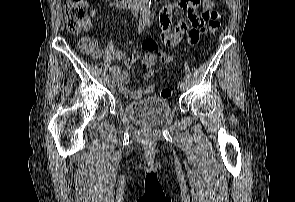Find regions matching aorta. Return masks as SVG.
I'll list each match as a JSON object with an SVG mask.
<instances>
[{
	"instance_id": "1",
	"label": "aorta",
	"mask_w": 295,
	"mask_h": 202,
	"mask_svg": "<svg viewBox=\"0 0 295 202\" xmlns=\"http://www.w3.org/2000/svg\"><path fill=\"white\" fill-rule=\"evenodd\" d=\"M139 1H140L141 17L143 19H150L151 0H139Z\"/></svg>"
}]
</instances>
